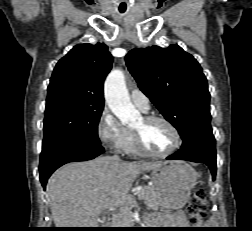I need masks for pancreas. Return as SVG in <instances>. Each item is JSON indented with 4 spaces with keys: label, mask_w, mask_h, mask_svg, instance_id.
I'll return each instance as SVG.
<instances>
[{
    "label": "pancreas",
    "mask_w": 252,
    "mask_h": 231,
    "mask_svg": "<svg viewBox=\"0 0 252 231\" xmlns=\"http://www.w3.org/2000/svg\"><path fill=\"white\" fill-rule=\"evenodd\" d=\"M138 198L144 200L150 208H157L158 201L153 186H145L139 193ZM131 221V205L128 202L122 204L121 209L114 217V224L120 228L129 226Z\"/></svg>",
    "instance_id": "1"
}]
</instances>
